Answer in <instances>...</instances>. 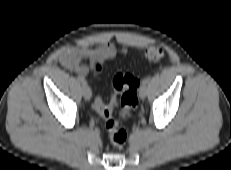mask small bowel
<instances>
[{
	"instance_id": "obj_1",
	"label": "small bowel",
	"mask_w": 231,
	"mask_h": 170,
	"mask_svg": "<svg viewBox=\"0 0 231 170\" xmlns=\"http://www.w3.org/2000/svg\"><path fill=\"white\" fill-rule=\"evenodd\" d=\"M118 53L125 54L126 49L112 42H105L98 47L82 44L65 48L60 54L59 61L63 67L78 76H85L94 70L96 63L113 58ZM86 60L89 64L84 62Z\"/></svg>"
}]
</instances>
